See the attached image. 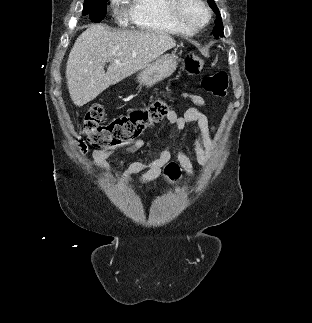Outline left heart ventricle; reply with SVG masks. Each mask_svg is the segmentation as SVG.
Instances as JSON below:
<instances>
[{
  "instance_id": "left-heart-ventricle-1",
  "label": "left heart ventricle",
  "mask_w": 312,
  "mask_h": 323,
  "mask_svg": "<svg viewBox=\"0 0 312 323\" xmlns=\"http://www.w3.org/2000/svg\"><path fill=\"white\" fill-rule=\"evenodd\" d=\"M180 13L184 14V18H205L206 7H199V2H194V0H185Z\"/></svg>"
}]
</instances>
